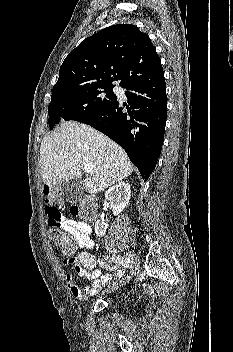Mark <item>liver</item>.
<instances>
[{
	"instance_id": "1",
	"label": "liver",
	"mask_w": 233,
	"mask_h": 352,
	"mask_svg": "<svg viewBox=\"0 0 233 352\" xmlns=\"http://www.w3.org/2000/svg\"><path fill=\"white\" fill-rule=\"evenodd\" d=\"M85 164L93 167L83 182L84 190L91 194L107 189L133 172L126 152L88 125L62 122L56 133L42 140L41 176L50 188L62 180L79 179Z\"/></svg>"
}]
</instances>
